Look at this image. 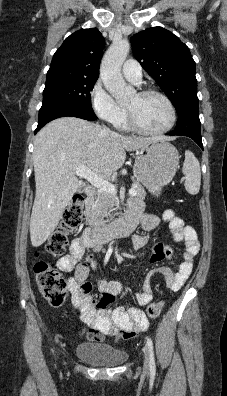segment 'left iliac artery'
Returning a JSON list of instances; mask_svg holds the SVG:
<instances>
[{
	"label": "left iliac artery",
	"instance_id": "obj_1",
	"mask_svg": "<svg viewBox=\"0 0 227 396\" xmlns=\"http://www.w3.org/2000/svg\"><path fill=\"white\" fill-rule=\"evenodd\" d=\"M147 346L150 352V372L152 374L155 373L156 366H155V358H154V351H153V342L151 338H147Z\"/></svg>",
	"mask_w": 227,
	"mask_h": 396
}]
</instances>
